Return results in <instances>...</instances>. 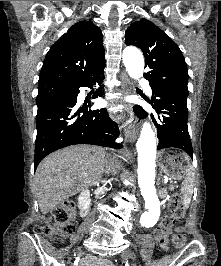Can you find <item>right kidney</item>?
Masks as SVG:
<instances>
[{
  "label": "right kidney",
  "instance_id": "right-kidney-1",
  "mask_svg": "<svg viewBox=\"0 0 221 266\" xmlns=\"http://www.w3.org/2000/svg\"><path fill=\"white\" fill-rule=\"evenodd\" d=\"M90 205V194L88 190H83L78 197V207L82 211L89 208Z\"/></svg>",
  "mask_w": 221,
  "mask_h": 266
}]
</instances>
